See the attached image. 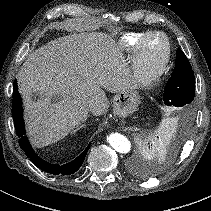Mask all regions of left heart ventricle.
Here are the masks:
<instances>
[{
    "mask_svg": "<svg viewBox=\"0 0 211 211\" xmlns=\"http://www.w3.org/2000/svg\"><path fill=\"white\" fill-rule=\"evenodd\" d=\"M165 51V42L160 36L149 38L143 48V58L146 68L156 66L162 59Z\"/></svg>",
    "mask_w": 211,
    "mask_h": 211,
    "instance_id": "obj_1",
    "label": "left heart ventricle"
}]
</instances>
